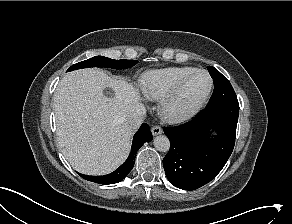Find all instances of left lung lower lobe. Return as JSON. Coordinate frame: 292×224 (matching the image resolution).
Segmentation results:
<instances>
[{"label":"left lung lower lobe","instance_id":"1","mask_svg":"<svg viewBox=\"0 0 292 224\" xmlns=\"http://www.w3.org/2000/svg\"><path fill=\"white\" fill-rule=\"evenodd\" d=\"M238 116L234 98L206 107L187 123L163 129L171 144L163 166L172 185L195 190L216 177L233 151Z\"/></svg>","mask_w":292,"mask_h":224}]
</instances>
